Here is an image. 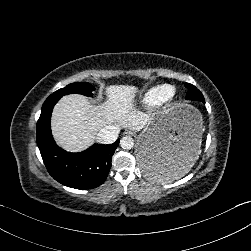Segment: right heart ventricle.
Instances as JSON below:
<instances>
[{
  "instance_id": "e07e8e85",
  "label": "right heart ventricle",
  "mask_w": 251,
  "mask_h": 251,
  "mask_svg": "<svg viewBox=\"0 0 251 251\" xmlns=\"http://www.w3.org/2000/svg\"><path fill=\"white\" fill-rule=\"evenodd\" d=\"M175 91L171 84H159L147 89L140 98V106L152 110L167 102L168 98Z\"/></svg>"
}]
</instances>
